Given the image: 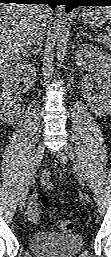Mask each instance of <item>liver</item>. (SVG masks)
<instances>
[{
	"label": "liver",
	"mask_w": 111,
	"mask_h": 257,
	"mask_svg": "<svg viewBox=\"0 0 111 257\" xmlns=\"http://www.w3.org/2000/svg\"><path fill=\"white\" fill-rule=\"evenodd\" d=\"M47 8L39 5L1 4L0 66L9 67L25 56L38 24L46 27Z\"/></svg>",
	"instance_id": "6515ba94"
}]
</instances>
